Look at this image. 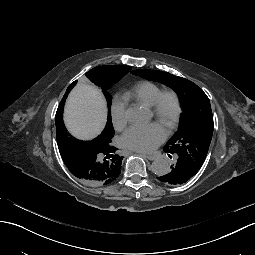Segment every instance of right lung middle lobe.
<instances>
[{
    "label": "right lung middle lobe",
    "mask_w": 255,
    "mask_h": 255,
    "mask_svg": "<svg viewBox=\"0 0 255 255\" xmlns=\"http://www.w3.org/2000/svg\"><path fill=\"white\" fill-rule=\"evenodd\" d=\"M131 70L128 66H117V65H104L97 66L90 70L88 78L97 86L102 89L107 103H108V121L107 124L111 123V100L112 96L107 90L117 81H119L125 74ZM74 149L82 153H87L90 150V145L87 142H76Z\"/></svg>",
    "instance_id": "right-lung-middle-lobe-1"
}]
</instances>
